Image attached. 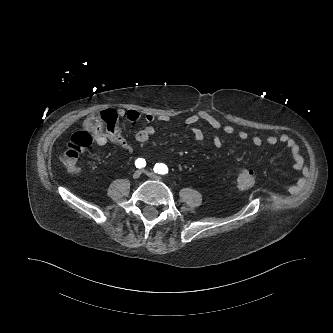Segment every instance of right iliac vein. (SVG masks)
Segmentation results:
<instances>
[{
	"label": "right iliac vein",
	"instance_id": "obj_1",
	"mask_svg": "<svg viewBox=\"0 0 333 333\" xmlns=\"http://www.w3.org/2000/svg\"><path fill=\"white\" fill-rule=\"evenodd\" d=\"M140 176H141V171H139V170L135 171L134 174H133L134 179H139Z\"/></svg>",
	"mask_w": 333,
	"mask_h": 333
}]
</instances>
